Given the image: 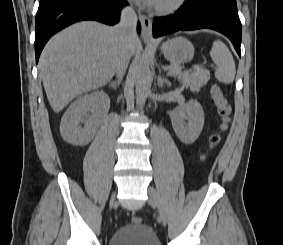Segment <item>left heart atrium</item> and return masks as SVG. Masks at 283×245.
Returning <instances> with one entry per match:
<instances>
[{
  "mask_svg": "<svg viewBox=\"0 0 283 245\" xmlns=\"http://www.w3.org/2000/svg\"><path fill=\"white\" fill-rule=\"evenodd\" d=\"M137 2H141V3H144V4H154L157 2V0H135Z\"/></svg>",
  "mask_w": 283,
  "mask_h": 245,
  "instance_id": "39dd6f15",
  "label": "left heart atrium"
}]
</instances>
